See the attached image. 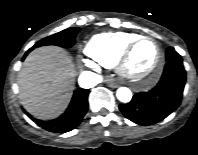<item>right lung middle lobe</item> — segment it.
Masks as SVG:
<instances>
[{"label": "right lung middle lobe", "mask_w": 198, "mask_h": 155, "mask_svg": "<svg viewBox=\"0 0 198 155\" xmlns=\"http://www.w3.org/2000/svg\"><path fill=\"white\" fill-rule=\"evenodd\" d=\"M79 31L80 29L78 27L65 29L42 39L29 50L43 45H57L65 48L71 47L75 43V36Z\"/></svg>", "instance_id": "1"}]
</instances>
